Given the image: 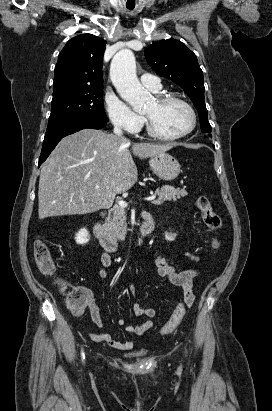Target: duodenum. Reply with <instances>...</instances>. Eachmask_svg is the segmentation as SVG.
Here are the masks:
<instances>
[{
	"label": "duodenum",
	"mask_w": 272,
	"mask_h": 411,
	"mask_svg": "<svg viewBox=\"0 0 272 411\" xmlns=\"http://www.w3.org/2000/svg\"><path fill=\"white\" fill-rule=\"evenodd\" d=\"M153 230L154 222L150 217H147L139 230L138 238L136 241L138 248H141L143 246L145 237L150 235ZM92 232L94 237L107 252H117L118 244L116 239L113 237V235L105 230L100 219L93 223Z\"/></svg>",
	"instance_id": "duodenum-1"
}]
</instances>
